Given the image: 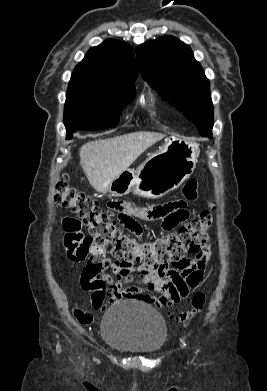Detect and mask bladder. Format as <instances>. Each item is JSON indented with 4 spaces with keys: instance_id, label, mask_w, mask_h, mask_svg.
I'll list each match as a JSON object with an SVG mask.
<instances>
[{
    "instance_id": "bladder-1",
    "label": "bladder",
    "mask_w": 267,
    "mask_h": 391,
    "mask_svg": "<svg viewBox=\"0 0 267 391\" xmlns=\"http://www.w3.org/2000/svg\"><path fill=\"white\" fill-rule=\"evenodd\" d=\"M100 334L110 347L129 353L151 354L159 351L167 339L163 317L145 305L122 301L105 313Z\"/></svg>"
}]
</instances>
